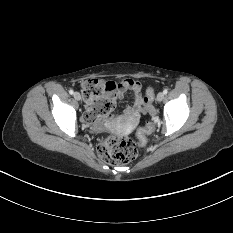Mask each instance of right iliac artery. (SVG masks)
<instances>
[{"label":"right iliac artery","mask_w":233,"mask_h":233,"mask_svg":"<svg viewBox=\"0 0 233 233\" xmlns=\"http://www.w3.org/2000/svg\"><path fill=\"white\" fill-rule=\"evenodd\" d=\"M69 93L72 95V94H74V91L72 89H70Z\"/></svg>","instance_id":"obj_1"}]
</instances>
